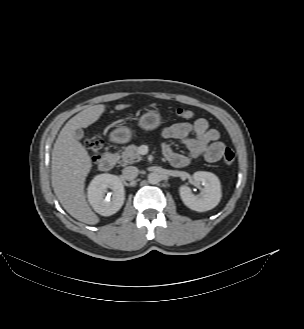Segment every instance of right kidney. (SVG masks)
I'll return each mask as SVG.
<instances>
[{"label": "right kidney", "mask_w": 304, "mask_h": 329, "mask_svg": "<svg viewBox=\"0 0 304 329\" xmlns=\"http://www.w3.org/2000/svg\"><path fill=\"white\" fill-rule=\"evenodd\" d=\"M113 191L112 198H104L107 189ZM87 197L94 211L102 216L115 214L123 205L125 190L119 177L112 174H99L93 178L87 189Z\"/></svg>", "instance_id": "1"}]
</instances>
